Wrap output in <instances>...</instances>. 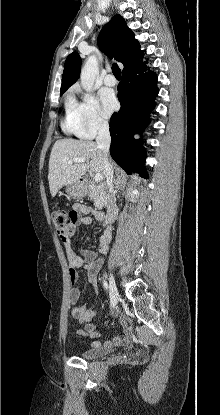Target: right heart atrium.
<instances>
[{
  "label": "right heart atrium",
  "instance_id": "obj_1",
  "mask_svg": "<svg viewBox=\"0 0 220 415\" xmlns=\"http://www.w3.org/2000/svg\"><path fill=\"white\" fill-rule=\"evenodd\" d=\"M74 110L81 138L92 139L108 128V122L100 113L98 100L92 93H82L81 100L75 102Z\"/></svg>",
  "mask_w": 220,
  "mask_h": 415
}]
</instances>
